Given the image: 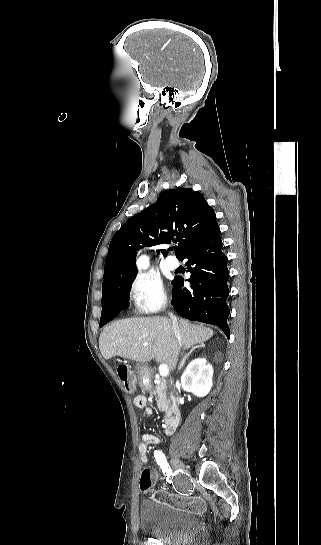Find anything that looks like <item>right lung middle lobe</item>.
Here are the masks:
<instances>
[{"mask_svg":"<svg viewBox=\"0 0 321 545\" xmlns=\"http://www.w3.org/2000/svg\"><path fill=\"white\" fill-rule=\"evenodd\" d=\"M136 273L127 276L117 287L108 290H102V307L104 306L107 299L112 295H128L131 289V284L136 277ZM103 325L104 316L102 315L100 318V327H102Z\"/></svg>","mask_w":321,"mask_h":545,"instance_id":"dd1d6c3e","label":"right lung middle lobe"}]
</instances>
